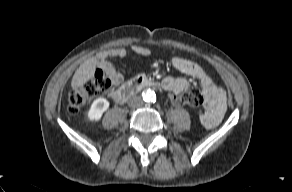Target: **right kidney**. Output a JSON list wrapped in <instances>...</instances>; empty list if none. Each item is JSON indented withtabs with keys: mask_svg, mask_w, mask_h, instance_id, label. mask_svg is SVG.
Masks as SVG:
<instances>
[{
	"mask_svg": "<svg viewBox=\"0 0 292 192\" xmlns=\"http://www.w3.org/2000/svg\"><path fill=\"white\" fill-rule=\"evenodd\" d=\"M108 107L109 102L105 98H97L90 107L88 118L95 121L99 120Z\"/></svg>",
	"mask_w": 292,
	"mask_h": 192,
	"instance_id": "1",
	"label": "right kidney"
}]
</instances>
